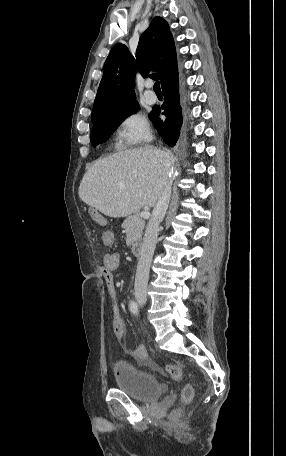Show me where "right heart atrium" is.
<instances>
[{
  "label": "right heart atrium",
  "mask_w": 286,
  "mask_h": 456,
  "mask_svg": "<svg viewBox=\"0 0 286 456\" xmlns=\"http://www.w3.org/2000/svg\"><path fill=\"white\" fill-rule=\"evenodd\" d=\"M151 138V131L146 118L131 111L125 114L116 127V142L120 147H131L143 144Z\"/></svg>",
  "instance_id": "right-heart-atrium-1"
}]
</instances>
